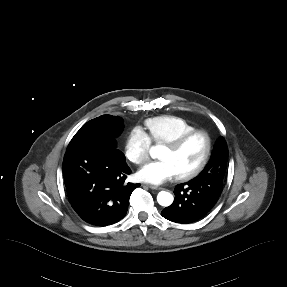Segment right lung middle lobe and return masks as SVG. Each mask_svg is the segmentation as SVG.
<instances>
[{
	"label": "right lung middle lobe",
	"mask_w": 287,
	"mask_h": 287,
	"mask_svg": "<svg viewBox=\"0 0 287 287\" xmlns=\"http://www.w3.org/2000/svg\"><path fill=\"white\" fill-rule=\"evenodd\" d=\"M123 120L111 115H102L84 124L74 135L67 148L81 145L104 146L107 151L115 150L117 137L123 130Z\"/></svg>",
	"instance_id": "right-lung-middle-lobe-1"
}]
</instances>
